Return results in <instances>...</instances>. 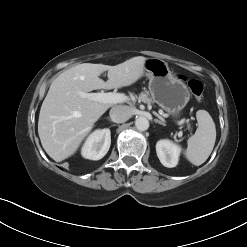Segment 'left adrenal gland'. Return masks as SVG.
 Wrapping results in <instances>:
<instances>
[{
    "label": "left adrenal gland",
    "mask_w": 247,
    "mask_h": 247,
    "mask_svg": "<svg viewBox=\"0 0 247 247\" xmlns=\"http://www.w3.org/2000/svg\"><path fill=\"white\" fill-rule=\"evenodd\" d=\"M154 122H155V123H158V124H160V125L165 126V124H164L163 122L159 121L158 119H155Z\"/></svg>",
    "instance_id": "left-adrenal-gland-1"
}]
</instances>
